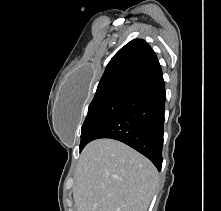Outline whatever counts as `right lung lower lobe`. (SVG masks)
<instances>
[{"label": "right lung lower lobe", "mask_w": 221, "mask_h": 211, "mask_svg": "<svg viewBox=\"0 0 221 211\" xmlns=\"http://www.w3.org/2000/svg\"><path fill=\"white\" fill-rule=\"evenodd\" d=\"M165 99L163 77L138 87L92 140L111 138L121 141L150 159L160 171Z\"/></svg>", "instance_id": "right-lung-lower-lobe-1"}]
</instances>
